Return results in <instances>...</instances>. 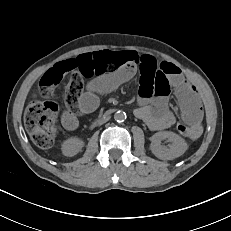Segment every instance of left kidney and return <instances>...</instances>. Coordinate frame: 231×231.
Instances as JSON below:
<instances>
[{
  "label": "left kidney",
  "mask_w": 231,
  "mask_h": 231,
  "mask_svg": "<svg viewBox=\"0 0 231 231\" xmlns=\"http://www.w3.org/2000/svg\"><path fill=\"white\" fill-rule=\"evenodd\" d=\"M167 139L171 142L169 147L162 146L161 141ZM151 151L161 160H172L185 153L188 148L186 141L178 134L170 131L155 133L151 138Z\"/></svg>",
  "instance_id": "5707ae66"
}]
</instances>
